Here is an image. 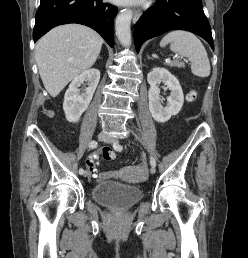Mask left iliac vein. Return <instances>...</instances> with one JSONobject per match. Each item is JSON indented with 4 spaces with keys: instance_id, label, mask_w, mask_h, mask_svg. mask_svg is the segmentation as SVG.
Segmentation results:
<instances>
[{
    "instance_id": "obj_1",
    "label": "left iliac vein",
    "mask_w": 248,
    "mask_h": 258,
    "mask_svg": "<svg viewBox=\"0 0 248 258\" xmlns=\"http://www.w3.org/2000/svg\"><path fill=\"white\" fill-rule=\"evenodd\" d=\"M105 142L112 144V143L115 142V139H114L113 136H108V137L105 139ZM150 172H151V174H154V173H155V167H152V168L150 169Z\"/></svg>"
}]
</instances>
